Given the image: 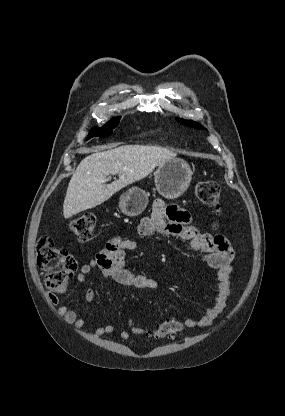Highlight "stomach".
<instances>
[{
  "instance_id": "obj_1",
  "label": "stomach",
  "mask_w": 285,
  "mask_h": 416,
  "mask_svg": "<svg viewBox=\"0 0 285 416\" xmlns=\"http://www.w3.org/2000/svg\"><path fill=\"white\" fill-rule=\"evenodd\" d=\"M154 176L157 192L164 198L173 200L186 192L193 172L185 160L173 158L159 164ZM146 206H148V194L140 188H129L128 192L120 196L119 208L125 216H139Z\"/></svg>"
}]
</instances>
